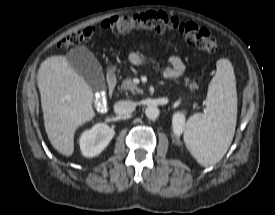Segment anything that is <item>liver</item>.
Listing matches in <instances>:
<instances>
[{"label": "liver", "instance_id": "obj_1", "mask_svg": "<svg viewBox=\"0 0 275 215\" xmlns=\"http://www.w3.org/2000/svg\"><path fill=\"white\" fill-rule=\"evenodd\" d=\"M37 80L48 139L59 153L71 156L75 131L95 116L92 89L61 55L41 63Z\"/></svg>", "mask_w": 275, "mask_h": 215}]
</instances>
